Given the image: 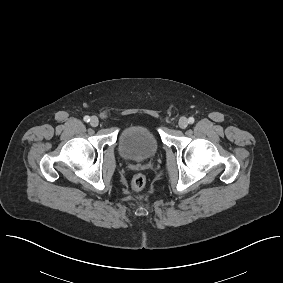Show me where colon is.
<instances>
[{
    "label": "colon",
    "mask_w": 283,
    "mask_h": 283,
    "mask_svg": "<svg viewBox=\"0 0 283 283\" xmlns=\"http://www.w3.org/2000/svg\"><path fill=\"white\" fill-rule=\"evenodd\" d=\"M146 185V177L145 175L138 173L135 174L131 180V188L134 191L142 190Z\"/></svg>",
    "instance_id": "1"
}]
</instances>
